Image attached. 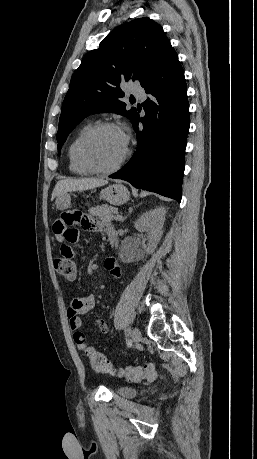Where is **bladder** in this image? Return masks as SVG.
<instances>
[{
	"instance_id": "obj_1",
	"label": "bladder",
	"mask_w": 257,
	"mask_h": 459,
	"mask_svg": "<svg viewBox=\"0 0 257 459\" xmlns=\"http://www.w3.org/2000/svg\"><path fill=\"white\" fill-rule=\"evenodd\" d=\"M116 392L118 395L127 398H132L138 395V389L132 386L119 387Z\"/></svg>"
}]
</instances>
